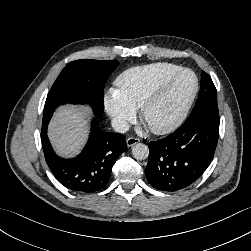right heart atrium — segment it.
Listing matches in <instances>:
<instances>
[{"instance_id":"d8ad5b80","label":"right heart atrium","mask_w":251,"mask_h":251,"mask_svg":"<svg viewBox=\"0 0 251 251\" xmlns=\"http://www.w3.org/2000/svg\"><path fill=\"white\" fill-rule=\"evenodd\" d=\"M104 108L116 129L124 130L134 118L135 110L116 92L110 90L104 95Z\"/></svg>"}]
</instances>
